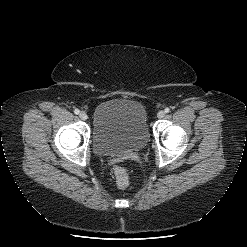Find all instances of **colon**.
Listing matches in <instances>:
<instances>
[{
    "label": "colon",
    "mask_w": 247,
    "mask_h": 247,
    "mask_svg": "<svg viewBox=\"0 0 247 247\" xmlns=\"http://www.w3.org/2000/svg\"><path fill=\"white\" fill-rule=\"evenodd\" d=\"M116 186L119 189H125L129 184V176L127 171L122 167H117L114 170Z\"/></svg>",
    "instance_id": "5ec220e1"
}]
</instances>
